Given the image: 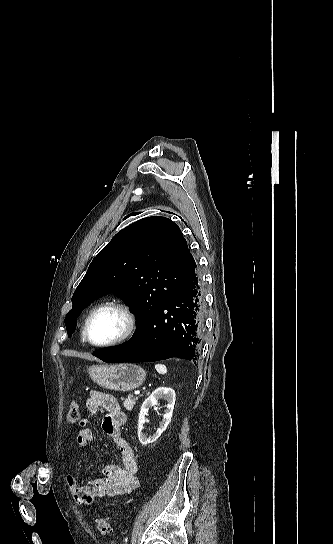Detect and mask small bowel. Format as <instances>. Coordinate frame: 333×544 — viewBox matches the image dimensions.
<instances>
[{"instance_id": "obj_1", "label": "small bowel", "mask_w": 333, "mask_h": 544, "mask_svg": "<svg viewBox=\"0 0 333 544\" xmlns=\"http://www.w3.org/2000/svg\"><path fill=\"white\" fill-rule=\"evenodd\" d=\"M89 414H105L102 429L118 446L121 453V465L107 464L103 467L104 477L93 479L80 485L74 475L67 476V485L74 501L80 505H91L96 499L113 497L131 492L139 486L138 467L134 451L122 434L121 428L126 422V414L117 400L110 394L92 391L85 403ZM94 440L93 430L80 421L77 443L87 447Z\"/></svg>"}]
</instances>
